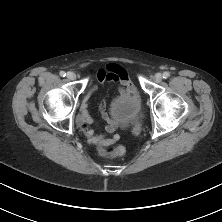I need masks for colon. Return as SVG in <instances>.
<instances>
[{
	"label": "colon",
	"mask_w": 222,
	"mask_h": 222,
	"mask_svg": "<svg viewBox=\"0 0 222 222\" xmlns=\"http://www.w3.org/2000/svg\"><path fill=\"white\" fill-rule=\"evenodd\" d=\"M100 153L109 158H119L125 154V148L121 145H101L99 149Z\"/></svg>",
	"instance_id": "colon-1"
}]
</instances>
